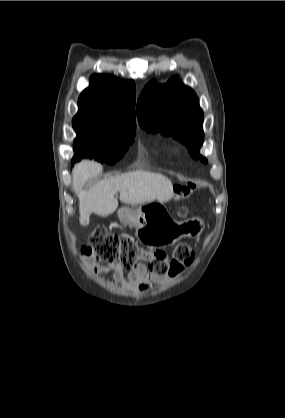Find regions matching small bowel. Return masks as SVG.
Listing matches in <instances>:
<instances>
[{
    "mask_svg": "<svg viewBox=\"0 0 285 418\" xmlns=\"http://www.w3.org/2000/svg\"><path fill=\"white\" fill-rule=\"evenodd\" d=\"M87 266L93 275L111 273L113 283L126 282L132 289H139L142 291L147 290L151 283L166 281L161 277L150 273L147 267L141 263L133 266L128 273H125L123 266L119 263L102 265L92 261L89 262Z\"/></svg>",
    "mask_w": 285,
    "mask_h": 418,
    "instance_id": "obj_1",
    "label": "small bowel"
}]
</instances>
